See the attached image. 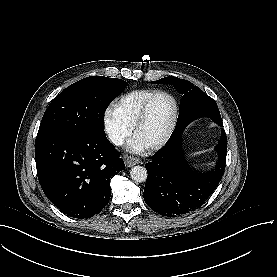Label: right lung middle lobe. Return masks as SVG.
Here are the masks:
<instances>
[{
  "label": "right lung middle lobe",
  "mask_w": 277,
  "mask_h": 277,
  "mask_svg": "<svg viewBox=\"0 0 277 277\" xmlns=\"http://www.w3.org/2000/svg\"><path fill=\"white\" fill-rule=\"evenodd\" d=\"M126 85L123 80L104 76H91L73 83L52 100L37 137L102 132L107 106Z\"/></svg>",
  "instance_id": "right-lung-middle-lobe-1"
}]
</instances>
